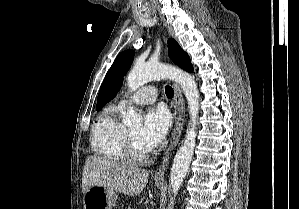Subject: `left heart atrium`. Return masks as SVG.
<instances>
[{"label":"left heart atrium","mask_w":299,"mask_h":209,"mask_svg":"<svg viewBox=\"0 0 299 209\" xmlns=\"http://www.w3.org/2000/svg\"><path fill=\"white\" fill-rule=\"evenodd\" d=\"M170 127L168 112L162 108H152L144 116V123L139 133V141L149 151L159 145Z\"/></svg>","instance_id":"left-heart-atrium-1"}]
</instances>
